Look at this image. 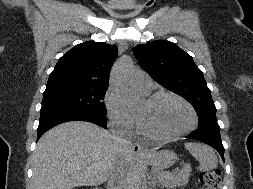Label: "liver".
I'll return each instance as SVG.
<instances>
[{"instance_id":"liver-1","label":"liver","mask_w":253,"mask_h":189,"mask_svg":"<svg viewBox=\"0 0 253 189\" xmlns=\"http://www.w3.org/2000/svg\"><path fill=\"white\" fill-rule=\"evenodd\" d=\"M132 152H121L112 134L95 124L66 122L46 132L33 155V189L98 186L113 163L126 165Z\"/></svg>"}]
</instances>
